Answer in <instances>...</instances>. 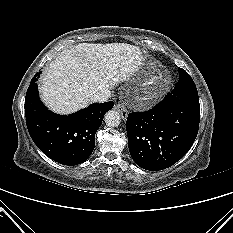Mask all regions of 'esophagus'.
Returning a JSON list of instances; mask_svg holds the SVG:
<instances>
[{
  "label": "esophagus",
  "mask_w": 233,
  "mask_h": 233,
  "mask_svg": "<svg viewBox=\"0 0 233 233\" xmlns=\"http://www.w3.org/2000/svg\"><path fill=\"white\" fill-rule=\"evenodd\" d=\"M115 109L118 110V112L121 114V117H122L123 119H126V118H127V116H128V111L126 110L124 104H121V103L117 104V105L115 106Z\"/></svg>",
  "instance_id": "obj_1"
}]
</instances>
